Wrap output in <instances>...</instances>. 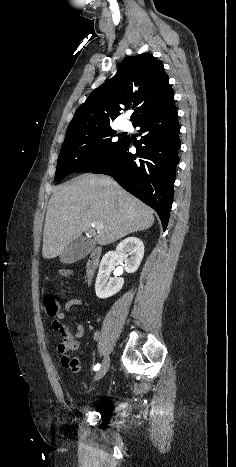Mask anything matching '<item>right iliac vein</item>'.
<instances>
[{
    "label": "right iliac vein",
    "mask_w": 236,
    "mask_h": 467,
    "mask_svg": "<svg viewBox=\"0 0 236 467\" xmlns=\"http://www.w3.org/2000/svg\"><path fill=\"white\" fill-rule=\"evenodd\" d=\"M109 365H110V362H109V359L106 358L104 360V362L102 363L100 369L96 372L95 374V377L94 379L97 381V380H100L102 377H104V375L107 373L108 369H109Z\"/></svg>",
    "instance_id": "right-iliac-vein-1"
}]
</instances>
